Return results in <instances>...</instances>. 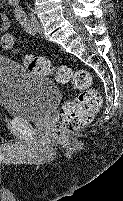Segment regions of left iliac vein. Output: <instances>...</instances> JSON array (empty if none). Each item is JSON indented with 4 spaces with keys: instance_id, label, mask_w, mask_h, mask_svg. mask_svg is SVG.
Returning <instances> with one entry per match:
<instances>
[{
    "instance_id": "obj_1",
    "label": "left iliac vein",
    "mask_w": 123,
    "mask_h": 201,
    "mask_svg": "<svg viewBox=\"0 0 123 201\" xmlns=\"http://www.w3.org/2000/svg\"><path fill=\"white\" fill-rule=\"evenodd\" d=\"M31 25L33 27V33L41 32L40 23L34 15H31Z\"/></svg>"
}]
</instances>
